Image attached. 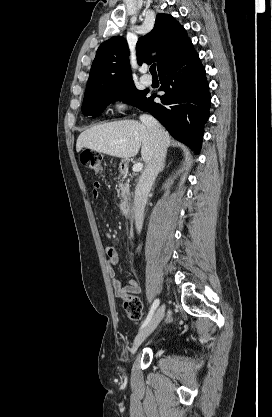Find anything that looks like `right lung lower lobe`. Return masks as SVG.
Returning a JSON list of instances; mask_svg holds the SVG:
<instances>
[{"label": "right lung lower lobe", "instance_id": "1", "mask_svg": "<svg viewBox=\"0 0 272 417\" xmlns=\"http://www.w3.org/2000/svg\"><path fill=\"white\" fill-rule=\"evenodd\" d=\"M165 94H155L139 108L151 113L177 140L200 152L204 124L209 118L211 96L205 67L190 43L158 71Z\"/></svg>", "mask_w": 272, "mask_h": 417}]
</instances>
